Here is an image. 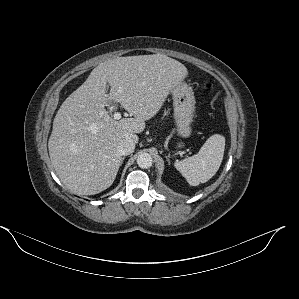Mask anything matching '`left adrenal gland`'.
<instances>
[{"instance_id":"left-adrenal-gland-1","label":"left adrenal gland","mask_w":299,"mask_h":299,"mask_svg":"<svg viewBox=\"0 0 299 299\" xmlns=\"http://www.w3.org/2000/svg\"><path fill=\"white\" fill-rule=\"evenodd\" d=\"M166 158H167L168 163H170V159L168 158V156Z\"/></svg>"}]
</instances>
